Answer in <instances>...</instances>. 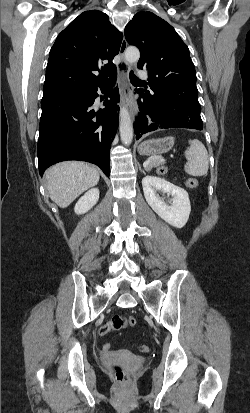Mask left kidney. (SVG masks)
<instances>
[{
	"label": "left kidney",
	"instance_id": "1",
	"mask_svg": "<svg viewBox=\"0 0 250 413\" xmlns=\"http://www.w3.org/2000/svg\"><path fill=\"white\" fill-rule=\"evenodd\" d=\"M145 199L151 208L167 223L176 228L185 226L191 212L188 193L163 178L146 176L142 179ZM158 192L171 195L167 203Z\"/></svg>",
	"mask_w": 250,
	"mask_h": 413
}]
</instances>
